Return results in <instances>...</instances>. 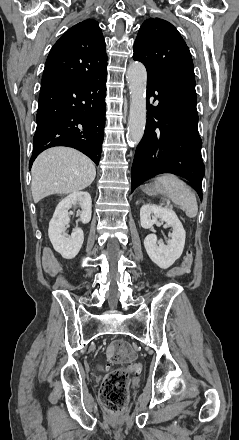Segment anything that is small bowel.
Here are the masks:
<instances>
[{
    "mask_svg": "<svg viewBox=\"0 0 239 440\" xmlns=\"http://www.w3.org/2000/svg\"><path fill=\"white\" fill-rule=\"evenodd\" d=\"M42 263L44 270L50 276H57L62 270L60 262L55 258L53 252L50 249H45L43 251Z\"/></svg>",
    "mask_w": 239,
    "mask_h": 440,
    "instance_id": "obj_1",
    "label": "small bowel"
}]
</instances>
